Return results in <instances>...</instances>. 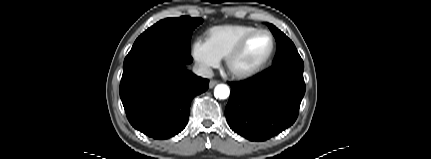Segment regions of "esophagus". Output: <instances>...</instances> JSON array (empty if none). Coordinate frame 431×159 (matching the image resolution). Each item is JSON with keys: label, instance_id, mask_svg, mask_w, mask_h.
<instances>
[{"label": "esophagus", "instance_id": "1", "mask_svg": "<svg viewBox=\"0 0 431 159\" xmlns=\"http://www.w3.org/2000/svg\"><path fill=\"white\" fill-rule=\"evenodd\" d=\"M217 83H218V81H216V80H210L209 88H213Z\"/></svg>", "mask_w": 431, "mask_h": 159}]
</instances>
